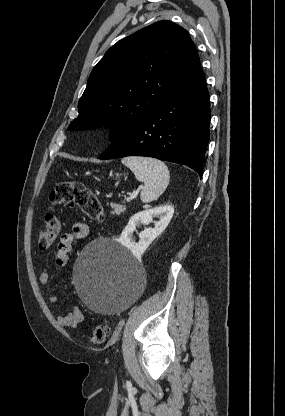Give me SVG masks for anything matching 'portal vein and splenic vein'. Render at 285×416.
<instances>
[{
  "mask_svg": "<svg viewBox=\"0 0 285 416\" xmlns=\"http://www.w3.org/2000/svg\"><path fill=\"white\" fill-rule=\"evenodd\" d=\"M138 194H136V192H134V194H129V198H127V202H131V200H133V198H137Z\"/></svg>",
  "mask_w": 285,
  "mask_h": 416,
  "instance_id": "18ae733b",
  "label": "portal vein and splenic vein"
}]
</instances>
